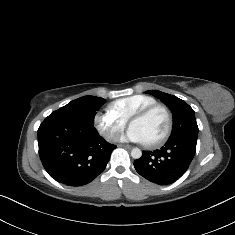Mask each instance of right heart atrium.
Listing matches in <instances>:
<instances>
[{
	"mask_svg": "<svg viewBox=\"0 0 235 235\" xmlns=\"http://www.w3.org/2000/svg\"><path fill=\"white\" fill-rule=\"evenodd\" d=\"M94 127L106 139H110L117 132L123 131L127 126V120L117 115L111 105L96 112L92 118Z\"/></svg>",
	"mask_w": 235,
	"mask_h": 235,
	"instance_id": "obj_1",
	"label": "right heart atrium"
}]
</instances>
